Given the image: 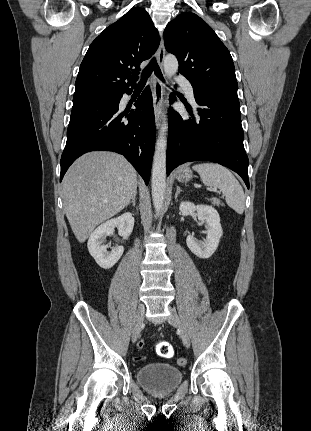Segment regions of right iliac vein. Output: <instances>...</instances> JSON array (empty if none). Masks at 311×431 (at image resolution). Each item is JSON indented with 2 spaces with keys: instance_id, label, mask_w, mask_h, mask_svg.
<instances>
[{
  "instance_id": "63e3f726",
  "label": "right iliac vein",
  "mask_w": 311,
  "mask_h": 431,
  "mask_svg": "<svg viewBox=\"0 0 311 431\" xmlns=\"http://www.w3.org/2000/svg\"><path fill=\"white\" fill-rule=\"evenodd\" d=\"M144 313H145V307L143 304H140L138 306L137 314L134 321V326L132 330V341L135 342L137 338L139 337L143 321H144Z\"/></svg>"
}]
</instances>
